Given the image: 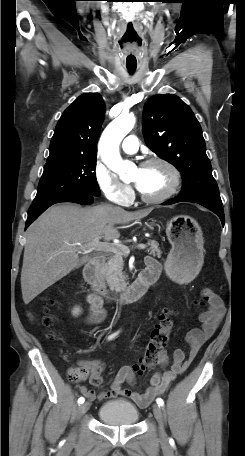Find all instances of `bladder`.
Masks as SVG:
<instances>
[{
	"label": "bladder",
	"mask_w": 245,
	"mask_h": 456,
	"mask_svg": "<svg viewBox=\"0 0 245 456\" xmlns=\"http://www.w3.org/2000/svg\"><path fill=\"white\" fill-rule=\"evenodd\" d=\"M98 417L106 425L133 426L139 420V411L128 401L111 400L100 407Z\"/></svg>",
	"instance_id": "1"
}]
</instances>
